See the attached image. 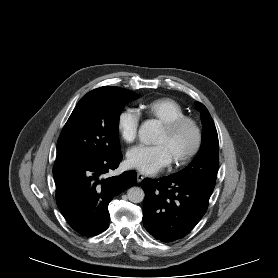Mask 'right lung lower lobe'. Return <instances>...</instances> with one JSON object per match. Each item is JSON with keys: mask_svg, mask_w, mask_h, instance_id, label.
<instances>
[{"mask_svg": "<svg viewBox=\"0 0 278 278\" xmlns=\"http://www.w3.org/2000/svg\"><path fill=\"white\" fill-rule=\"evenodd\" d=\"M121 160L122 154L118 152L108 157L54 164L58 208L78 233L94 236L105 231L110 220L109 202L136 183L134 171L106 178V173L116 169Z\"/></svg>", "mask_w": 278, "mask_h": 278, "instance_id": "1", "label": "right lung lower lobe"}]
</instances>
